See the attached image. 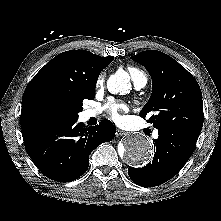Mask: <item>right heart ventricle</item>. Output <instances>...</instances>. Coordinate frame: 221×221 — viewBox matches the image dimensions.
Instances as JSON below:
<instances>
[{"label": "right heart ventricle", "mask_w": 221, "mask_h": 221, "mask_svg": "<svg viewBox=\"0 0 221 221\" xmlns=\"http://www.w3.org/2000/svg\"><path fill=\"white\" fill-rule=\"evenodd\" d=\"M128 72L131 75L133 81L135 82L139 77H145L144 73L135 67H129Z\"/></svg>", "instance_id": "e07e8e85"}]
</instances>
